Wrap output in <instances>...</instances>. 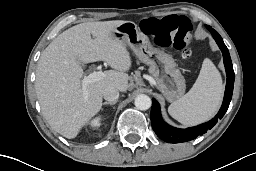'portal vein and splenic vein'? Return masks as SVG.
<instances>
[{
    "mask_svg": "<svg viewBox=\"0 0 256 171\" xmlns=\"http://www.w3.org/2000/svg\"><path fill=\"white\" fill-rule=\"evenodd\" d=\"M105 77H106L105 72L98 71V72H93V73L89 74L88 76H86L82 79L83 95H84L85 100L88 97V92L86 90V86L91 82L99 81V80H101Z\"/></svg>",
    "mask_w": 256,
    "mask_h": 171,
    "instance_id": "obj_1",
    "label": "portal vein and splenic vein"
}]
</instances>
